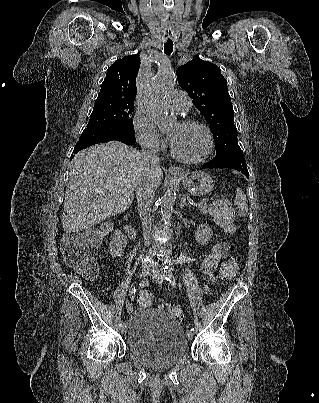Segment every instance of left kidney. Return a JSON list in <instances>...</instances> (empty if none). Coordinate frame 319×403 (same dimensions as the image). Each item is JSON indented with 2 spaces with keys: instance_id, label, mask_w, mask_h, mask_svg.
I'll return each instance as SVG.
<instances>
[{
  "instance_id": "left-kidney-1",
  "label": "left kidney",
  "mask_w": 319,
  "mask_h": 403,
  "mask_svg": "<svg viewBox=\"0 0 319 403\" xmlns=\"http://www.w3.org/2000/svg\"><path fill=\"white\" fill-rule=\"evenodd\" d=\"M213 235L212 228L206 224H200L195 232V239L201 245H207Z\"/></svg>"
}]
</instances>
